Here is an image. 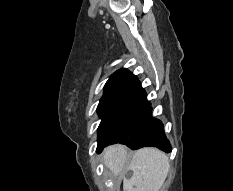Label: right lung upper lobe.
Masks as SVG:
<instances>
[{
  "mask_svg": "<svg viewBox=\"0 0 233 191\" xmlns=\"http://www.w3.org/2000/svg\"><path fill=\"white\" fill-rule=\"evenodd\" d=\"M137 82L136 76L126 69L116 71L105 84L100 101L125 96Z\"/></svg>",
  "mask_w": 233,
  "mask_h": 191,
  "instance_id": "1",
  "label": "right lung upper lobe"
}]
</instances>
